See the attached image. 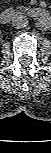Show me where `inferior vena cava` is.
<instances>
[{
    "instance_id": "602c4592",
    "label": "inferior vena cava",
    "mask_w": 51,
    "mask_h": 153,
    "mask_svg": "<svg viewBox=\"0 0 51 153\" xmlns=\"http://www.w3.org/2000/svg\"><path fill=\"white\" fill-rule=\"evenodd\" d=\"M28 18L24 15H16L13 19H12V26L20 29V28H24L28 25Z\"/></svg>"
}]
</instances>
